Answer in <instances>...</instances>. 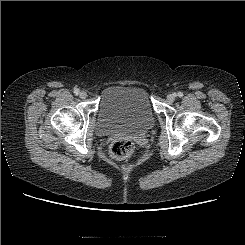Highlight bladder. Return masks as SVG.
<instances>
[{
	"label": "bladder",
	"instance_id": "1",
	"mask_svg": "<svg viewBox=\"0 0 245 245\" xmlns=\"http://www.w3.org/2000/svg\"><path fill=\"white\" fill-rule=\"evenodd\" d=\"M154 122L151 100L144 87L112 85L104 90L99 107V134H138L151 128Z\"/></svg>",
	"mask_w": 245,
	"mask_h": 245
}]
</instances>
